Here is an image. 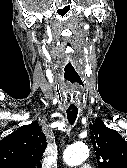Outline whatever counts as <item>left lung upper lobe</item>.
Segmentation results:
<instances>
[{
	"label": "left lung upper lobe",
	"instance_id": "1",
	"mask_svg": "<svg viewBox=\"0 0 127 168\" xmlns=\"http://www.w3.org/2000/svg\"><path fill=\"white\" fill-rule=\"evenodd\" d=\"M98 168H127V142L103 121L95 119L89 126Z\"/></svg>",
	"mask_w": 127,
	"mask_h": 168
}]
</instances>
